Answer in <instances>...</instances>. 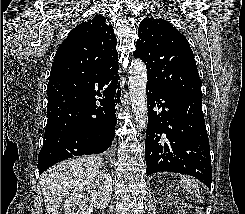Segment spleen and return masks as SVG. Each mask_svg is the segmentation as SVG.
Segmentation results:
<instances>
[{"label":"spleen","mask_w":245,"mask_h":214,"mask_svg":"<svg viewBox=\"0 0 245 214\" xmlns=\"http://www.w3.org/2000/svg\"><path fill=\"white\" fill-rule=\"evenodd\" d=\"M181 186L191 194H195L196 197L201 198V191L198 182L195 179L182 177L180 181Z\"/></svg>","instance_id":"spleen-1"}]
</instances>
